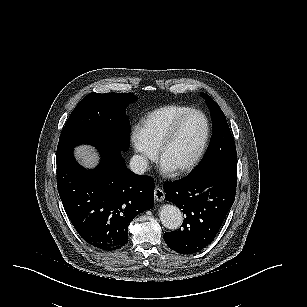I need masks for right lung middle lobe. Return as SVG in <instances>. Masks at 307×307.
<instances>
[{
  "label": "right lung middle lobe",
  "mask_w": 307,
  "mask_h": 307,
  "mask_svg": "<svg viewBox=\"0 0 307 307\" xmlns=\"http://www.w3.org/2000/svg\"><path fill=\"white\" fill-rule=\"evenodd\" d=\"M134 100L136 97L132 93L91 92L85 96L64 126L57 155L83 143L128 150L131 127L125 106Z\"/></svg>",
  "instance_id": "obj_1"
}]
</instances>
